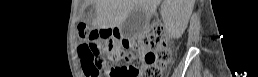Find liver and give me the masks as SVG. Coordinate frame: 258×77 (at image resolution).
I'll use <instances>...</instances> for the list:
<instances>
[{
  "label": "liver",
  "mask_w": 258,
  "mask_h": 77,
  "mask_svg": "<svg viewBox=\"0 0 258 77\" xmlns=\"http://www.w3.org/2000/svg\"><path fill=\"white\" fill-rule=\"evenodd\" d=\"M161 0H97L95 25L102 28L120 27L135 9H142L151 16ZM195 0H165L164 9L174 8L183 24L188 23Z\"/></svg>",
  "instance_id": "obj_1"
}]
</instances>
